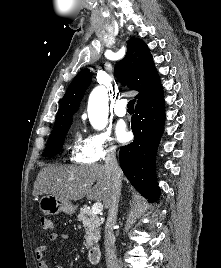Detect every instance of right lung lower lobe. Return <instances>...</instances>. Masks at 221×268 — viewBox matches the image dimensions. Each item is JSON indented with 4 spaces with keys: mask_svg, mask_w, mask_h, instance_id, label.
I'll list each match as a JSON object with an SVG mask.
<instances>
[{
    "mask_svg": "<svg viewBox=\"0 0 221 268\" xmlns=\"http://www.w3.org/2000/svg\"><path fill=\"white\" fill-rule=\"evenodd\" d=\"M163 91L138 103L131 119L134 141L120 149V166L131 184L150 202H156L160 189L156 181L155 157L164 131Z\"/></svg>",
    "mask_w": 221,
    "mask_h": 268,
    "instance_id": "1",
    "label": "right lung lower lobe"
}]
</instances>
